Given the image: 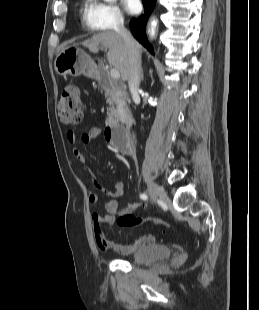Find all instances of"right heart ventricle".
Masks as SVG:
<instances>
[{"instance_id": "obj_1", "label": "right heart ventricle", "mask_w": 259, "mask_h": 310, "mask_svg": "<svg viewBox=\"0 0 259 310\" xmlns=\"http://www.w3.org/2000/svg\"><path fill=\"white\" fill-rule=\"evenodd\" d=\"M82 24L89 30H95L98 28L91 18V7L87 2H85L82 9Z\"/></svg>"}]
</instances>
